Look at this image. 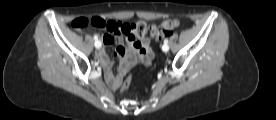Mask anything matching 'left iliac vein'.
I'll return each instance as SVG.
<instances>
[{"instance_id":"left-iliac-vein-1","label":"left iliac vein","mask_w":276,"mask_h":120,"mask_svg":"<svg viewBox=\"0 0 276 120\" xmlns=\"http://www.w3.org/2000/svg\"><path fill=\"white\" fill-rule=\"evenodd\" d=\"M162 50H163L164 52H168L169 46H168V45H163V46H162Z\"/></svg>"}]
</instances>
